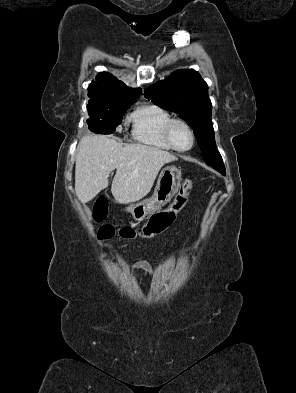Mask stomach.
I'll return each instance as SVG.
<instances>
[{
	"instance_id": "0dacf381",
	"label": "stomach",
	"mask_w": 296,
	"mask_h": 393,
	"mask_svg": "<svg viewBox=\"0 0 296 393\" xmlns=\"http://www.w3.org/2000/svg\"><path fill=\"white\" fill-rule=\"evenodd\" d=\"M181 182V171L174 166L162 169L153 195L126 208L136 221H143L147 216L160 210L177 193Z\"/></svg>"
}]
</instances>
